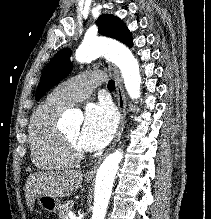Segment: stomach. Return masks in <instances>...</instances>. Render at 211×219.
<instances>
[{"label":"stomach","mask_w":211,"mask_h":219,"mask_svg":"<svg viewBox=\"0 0 211 219\" xmlns=\"http://www.w3.org/2000/svg\"><path fill=\"white\" fill-rule=\"evenodd\" d=\"M37 204L49 213H56L61 208L60 200L50 195H39L36 197Z\"/></svg>","instance_id":"0dacf381"}]
</instances>
